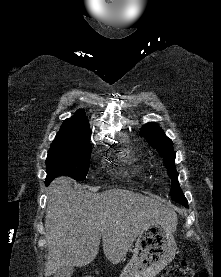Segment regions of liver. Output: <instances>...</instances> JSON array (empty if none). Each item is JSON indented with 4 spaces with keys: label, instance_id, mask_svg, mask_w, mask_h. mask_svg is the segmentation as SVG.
<instances>
[{
    "label": "liver",
    "instance_id": "obj_1",
    "mask_svg": "<svg viewBox=\"0 0 221 277\" xmlns=\"http://www.w3.org/2000/svg\"><path fill=\"white\" fill-rule=\"evenodd\" d=\"M47 195L46 277L62 267L90 264L101 238L106 258L118 264L145 226L176 217L157 200L133 191H76L73 180L64 176L53 180Z\"/></svg>",
    "mask_w": 221,
    "mask_h": 277
}]
</instances>
